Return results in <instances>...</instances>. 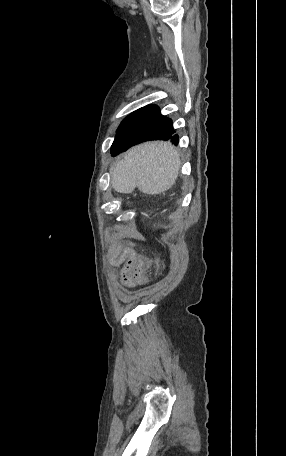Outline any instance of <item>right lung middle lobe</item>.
Returning <instances> with one entry per match:
<instances>
[{
	"instance_id": "right-lung-middle-lobe-1",
	"label": "right lung middle lobe",
	"mask_w": 286,
	"mask_h": 456,
	"mask_svg": "<svg viewBox=\"0 0 286 456\" xmlns=\"http://www.w3.org/2000/svg\"><path fill=\"white\" fill-rule=\"evenodd\" d=\"M123 135H124V127H123V123H121L118 131H117V135L115 137V140L112 144V147H111V150H113L114 148H116L123 140Z\"/></svg>"
}]
</instances>
